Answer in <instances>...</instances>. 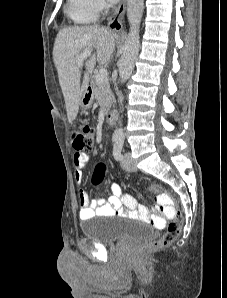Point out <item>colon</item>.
<instances>
[{
	"instance_id": "obj_1",
	"label": "colon",
	"mask_w": 227,
	"mask_h": 298,
	"mask_svg": "<svg viewBox=\"0 0 227 298\" xmlns=\"http://www.w3.org/2000/svg\"><path fill=\"white\" fill-rule=\"evenodd\" d=\"M95 137V129L90 125H81L77 127L72 133V146L74 150L90 151L93 147ZM105 167L99 165L93 174V183L99 184L104 177ZM150 194H157L158 204L154 207L155 214L150 217L149 222L156 228H162L165 225V219H169L170 223L166 228L164 234L151 242L141 246L140 252L145 254L155 251L159 248L166 247L173 243L180 234L183 225V215L174 206L172 197L166 193L161 192V187L153 184L149 190ZM163 213L164 217L160 215Z\"/></svg>"
}]
</instances>
